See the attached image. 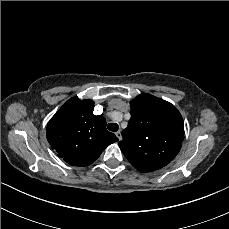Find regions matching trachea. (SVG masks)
I'll return each instance as SVG.
<instances>
[{
    "label": "trachea",
    "instance_id": "3493384b",
    "mask_svg": "<svg viewBox=\"0 0 229 229\" xmlns=\"http://www.w3.org/2000/svg\"><path fill=\"white\" fill-rule=\"evenodd\" d=\"M108 130L112 132H116L119 129V125L117 123H109L107 126Z\"/></svg>",
    "mask_w": 229,
    "mask_h": 229
}]
</instances>
